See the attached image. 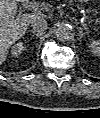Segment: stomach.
Listing matches in <instances>:
<instances>
[{
	"mask_svg": "<svg viewBox=\"0 0 100 118\" xmlns=\"http://www.w3.org/2000/svg\"><path fill=\"white\" fill-rule=\"evenodd\" d=\"M80 2H88L89 0H79Z\"/></svg>",
	"mask_w": 100,
	"mask_h": 118,
	"instance_id": "stomach-1",
	"label": "stomach"
}]
</instances>
